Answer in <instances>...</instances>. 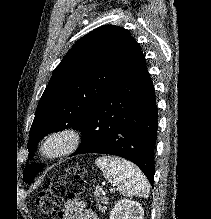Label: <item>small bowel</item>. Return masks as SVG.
Returning <instances> with one entry per match:
<instances>
[{
    "mask_svg": "<svg viewBox=\"0 0 211 219\" xmlns=\"http://www.w3.org/2000/svg\"><path fill=\"white\" fill-rule=\"evenodd\" d=\"M57 219H97L91 211L84 208L79 201L66 205L58 214Z\"/></svg>",
    "mask_w": 211,
    "mask_h": 219,
    "instance_id": "obj_1",
    "label": "small bowel"
}]
</instances>
